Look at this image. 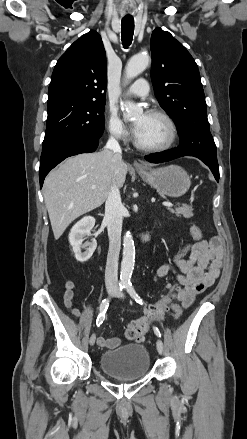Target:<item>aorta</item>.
<instances>
[{
	"mask_svg": "<svg viewBox=\"0 0 247 439\" xmlns=\"http://www.w3.org/2000/svg\"><path fill=\"white\" fill-rule=\"evenodd\" d=\"M150 58L145 53H139L134 55L128 61L125 73L127 79H132L137 77L140 73H142L146 67L148 66ZM124 118L128 120L135 119L139 117L143 109L135 104L134 102L127 101L124 106ZM135 263V246L132 234L128 231L125 233L123 238V259L121 262V275L120 282L121 284H127L130 282V278L132 272L134 270Z\"/></svg>",
	"mask_w": 247,
	"mask_h": 439,
	"instance_id": "obj_1",
	"label": "aorta"
}]
</instances>
